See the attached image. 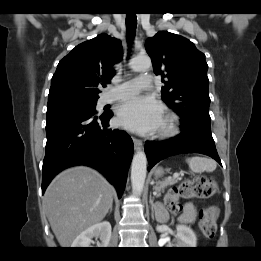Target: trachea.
Instances as JSON below:
<instances>
[{
	"instance_id": "1",
	"label": "trachea",
	"mask_w": 261,
	"mask_h": 261,
	"mask_svg": "<svg viewBox=\"0 0 261 261\" xmlns=\"http://www.w3.org/2000/svg\"><path fill=\"white\" fill-rule=\"evenodd\" d=\"M136 26H137L136 14L128 13L126 15V28H127V39H128L129 44H131V42L135 36Z\"/></svg>"
}]
</instances>
